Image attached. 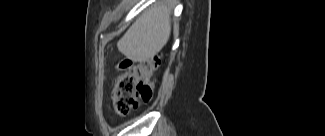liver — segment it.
<instances>
[{"label": "liver", "mask_w": 325, "mask_h": 136, "mask_svg": "<svg viewBox=\"0 0 325 136\" xmlns=\"http://www.w3.org/2000/svg\"><path fill=\"white\" fill-rule=\"evenodd\" d=\"M176 0H158L130 26L118 41L119 51L128 59L144 62L156 55L171 33V11Z\"/></svg>", "instance_id": "liver-1"}]
</instances>
